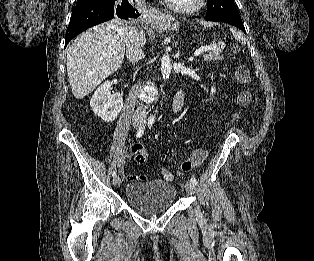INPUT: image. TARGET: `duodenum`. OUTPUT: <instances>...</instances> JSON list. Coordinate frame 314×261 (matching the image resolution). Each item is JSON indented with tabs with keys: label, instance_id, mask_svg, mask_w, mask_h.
<instances>
[{
	"label": "duodenum",
	"instance_id": "1",
	"mask_svg": "<svg viewBox=\"0 0 314 261\" xmlns=\"http://www.w3.org/2000/svg\"><path fill=\"white\" fill-rule=\"evenodd\" d=\"M174 105L177 109H181L183 105V95L181 93L177 94L174 99Z\"/></svg>",
	"mask_w": 314,
	"mask_h": 261
}]
</instances>
